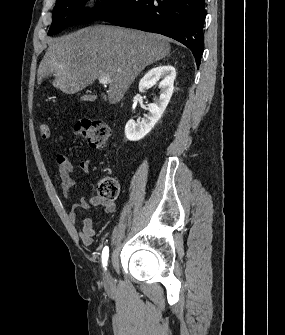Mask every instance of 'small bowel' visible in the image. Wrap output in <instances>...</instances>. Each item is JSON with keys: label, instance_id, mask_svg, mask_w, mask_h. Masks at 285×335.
<instances>
[{"label": "small bowel", "instance_id": "obj_1", "mask_svg": "<svg viewBox=\"0 0 285 335\" xmlns=\"http://www.w3.org/2000/svg\"><path fill=\"white\" fill-rule=\"evenodd\" d=\"M56 163L59 170L60 183L59 187L64 194L68 196L72 187L75 184V181L72 177L73 173V164L72 162L63 154L57 155ZM79 168L85 174H88L90 171V160H82L79 164ZM102 205L104 212L111 214L115 211V204L113 202H108L102 198L93 196L89 198H81L77 203H74L69 211V219L72 223L78 222L77 210L79 208L88 209L92 206ZM96 235V230L94 228L91 218L85 217L81 221V228L79 230V238L84 245H91L93 243V238Z\"/></svg>", "mask_w": 285, "mask_h": 335}]
</instances>
